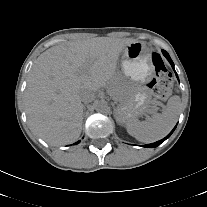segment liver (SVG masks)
I'll return each instance as SVG.
<instances>
[{
	"label": "liver",
	"instance_id": "6515ba94",
	"mask_svg": "<svg viewBox=\"0 0 207 207\" xmlns=\"http://www.w3.org/2000/svg\"><path fill=\"white\" fill-rule=\"evenodd\" d=\"M131 39L96 37L61 43L35 61L25 90L32 131L51 145L76 141L81 134L82 90L97 92L115 76L118 57Z\"/></svg>",
	"mask_w": 207,
	"mask_h": 207
}]
</instances>
